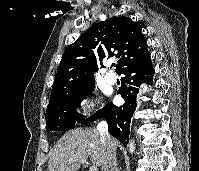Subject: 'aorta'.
<instances>
[{
	"mask_svg": "<svg viewBox=\"0 0 199 171\" xmlns=\"http://www.w3.org/2000/svg\"><path fill=\"white\" fill-rule=\"evenodd\" d=\"M129 148H130V152L134 151V144H133V142H130Z\"/></svg>",
	"mask_w": 199,
	"mask_h": 171,
	"instance_id": "762f6f07",
	"label": "aorta"
}]
</instances>
